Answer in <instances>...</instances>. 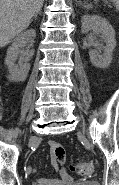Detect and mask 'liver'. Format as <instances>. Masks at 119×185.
<instances>
[{
    "label": "liver",
    "instance_id": "6515ba94",
    "mask_svg": "<svg viewBox=\"0 0 119 185\" xmlns=\"http://www.w3.org/2000/svg\"><path fill=\"white\" fill-rule=\"evenodd\" d=\"M44 0H0V47L25 30Z\"/></svg>",
    "mask_w": 119,
    "mask_h": 185
}]
</instances>
